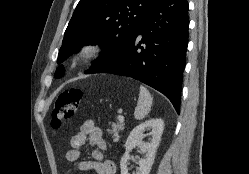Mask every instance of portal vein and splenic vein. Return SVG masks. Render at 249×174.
Segmentation results:
<instances>
[{
	"instance_id": "portal-vein-and-splenic-vein-1",
	"label": "portal vein and splenic vein",
	"mask_w": 249,
	"mask_h": 174,
	"mask_svg": "<svg viewBox=\"0 0 249 174\" xmlns=\"http://www.w3.org/2000/svg\"><path fill=\"white\" fill-rule=\"evenodd\" d=\"M118 121H119L120 123H123V122H124V117H123L122 115H119V116H118Z\"/></svg>"
}]
</instances>
